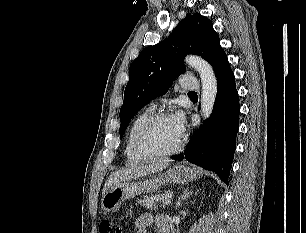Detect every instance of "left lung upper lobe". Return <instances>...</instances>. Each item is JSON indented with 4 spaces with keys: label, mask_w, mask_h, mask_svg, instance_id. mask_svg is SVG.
Returning <instances> with one entry per match:
<instances>
[{
    "label": "left lung upper lobe",
    "mask_w": 306,
    "mask_h": 233,
    "mask_svg": "<svg viewBox=\"0 0 306 233\" xmlns=\"http://www.w3.org/2000/svg\"><path fill=\"white\" fill-rule=\"evenodd\" d=\"M187 54L200 55L212 67L224 54L213 23L199 13L187 14L167 39L146 47L131 63L120 109V137L136 112L165 94L172 81L186 71L183 59Z\"/></svg>",
    "instance_id": "obj_1"
}]
</instances>
